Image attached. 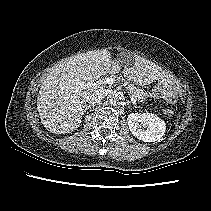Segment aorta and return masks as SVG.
Masks as SVG:
<instances>
[{"instance_id":"762f6f07","label":"aorta","mask_w":211,"mask_h":211,"mask_svg":"<svg viewBox=\"0 0 211 211\" xmlns=\"http://www.w3.org/2000/svg\"><path fill=\"white\" fill-rule=\"evenodd\" d=\"M108 103L112 106H116L119 103V98L117 97V95H112L109 97Z\"/></svg>"}]
</instances>
